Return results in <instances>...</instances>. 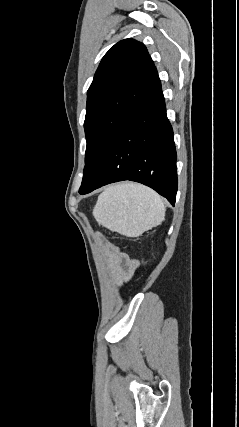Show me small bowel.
<instances>
[{
    "label": "small bowel",
    "mask_w": 239,
    "mask_h": 427,
    "mask_svg": "<svg viewBox=\"0 0 239 427\" xmlns=\"http://www.w3.org/2000/svg\"><path fill=\"white\" fill-rule=\"evenodd\" d=\"M106 253L113 267L114 277L119 285H123L134 274L137 261L113 244H106Z\"/></svg>",
    "instance_id": "obj_1"
}]
</instances>
